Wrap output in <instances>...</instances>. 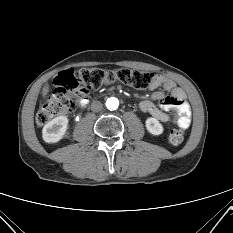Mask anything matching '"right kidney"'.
Listing matches in <instances>:
<instances>
[{"instance_id": "right-kidney-1", "label": "right kidney", "mask_w": 233, "mask_h": 233, "mask_svg": "<svg viewBox=\"0 0 233 233\" xmlns=\"http://www.w3.org/2000/svg\"><path fill=\"white\" fill-rule=\"evenodd\" d=\"M68 118L59 116L45 124L42 131L43 140L47 143L60 141L67 131Z\"/></svg>"}]
</instances>
